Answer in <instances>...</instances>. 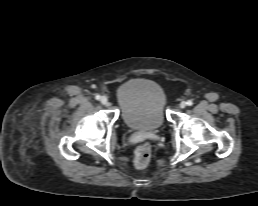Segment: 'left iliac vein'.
I'll use <instances>...</instances> for the list:
<instances>
[{"label": "left iliac vein", "instance_id": "4c4485c4", "mask_svg": "<svg viewBox=\"0 0 258 206\" xmlns=\"http://www.w3.org/2000/svg\"><path fill=\"white\" fill-rule=\"evenodd\" d=\"M186 105H187V103H186L185 101H182V102L180 103V108H185Z\"/></svg>", "mask_w": 258, "mask_h": 206}]
</instances>
